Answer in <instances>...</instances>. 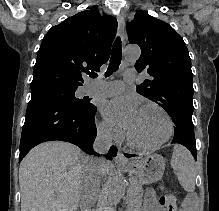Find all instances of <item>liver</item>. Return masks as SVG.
<instances>
[{
  "mask_svg": "<svg viewBox=\"0 0 219 211\" xmlns=\"http://www.w3.org/2000/svg\"><path fill=\"white\" fill-rule=\"evenodd\" d=\"M112 173L113 163L92 167V157L73 143H39L20 163L21 211H77L85 205L82 191L93 205L101 177Z\"/></svg>",
  "mask_w": 219,
  "mask_h": 211,
  "instance_id": "obj_1",
  "label": "liver"
}]
</instances>
